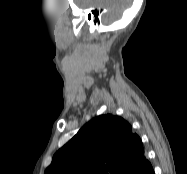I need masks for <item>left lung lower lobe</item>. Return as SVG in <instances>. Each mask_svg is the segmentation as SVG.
<instances>
[{"instance_id":"obj_1","label":"left lung lower lobe","mask_w":187,"mask_h":174,"mask_svg":"<svg viewBox=\"0 0 187 174\" xmlns=\"http://www.w3.org/2000/svg\"><path fill=\"white\" fill-rule=\"evenodd\" d=\"M132 174H155L153 171V168L151 164L149 163L146 167L143 169L135 168Z\"/></svg>"}]
</instances>
